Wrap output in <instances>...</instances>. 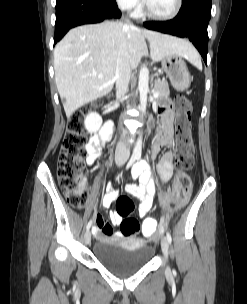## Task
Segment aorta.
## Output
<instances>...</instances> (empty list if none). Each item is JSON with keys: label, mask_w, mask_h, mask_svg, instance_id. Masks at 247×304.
I'll use <instances>...</instances> for the list:
<instances>
[{"label": "aorta", "mask_w": 247, "mask_h": 304, "mask_svg": "<svg viewBox=\"0 0 247 304\" xmlns=\"http://www.w3.org/2000/svg\"><path fill=\"white\" fill-rule=\"evenodd\" d=\"M138 89L140 92V111L144 114L146 112L147 94L149 91V71L146 67H141L139 72ZM142 135H139L135 150L141 151Z\"/></svg>", "instance_id": "762f6f07"}]
</instances>
